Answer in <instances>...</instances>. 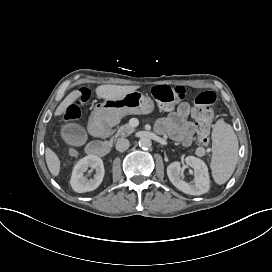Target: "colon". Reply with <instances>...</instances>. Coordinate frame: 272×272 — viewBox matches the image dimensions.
<instances>
[{"instance_id": "5ec220e1", "label": "colon", "mask_w": 272, "mask_h": 272, "mask_svg": "<svg viewBox=\"0 0 272 272\" xmlns=\"http://www.w3.org/2000/svg\"><path fill=\"white\" fill-rule=\"evenodd\" d=\"M80 94L79 98L70 102L65 109L64 120L67 124H75L80 119L81 106L88 100L87 89L82 88ZM153 94L159 102L169 103L182 98L184 90L181 87L171 88L161 85L153 88ZM216 99V94L210 90L199 93L195 98L199 129L198 135L203 145H206L209 141L210 127L215 118L213 106L216 103Z\"/></svg>"}]
</instances>
